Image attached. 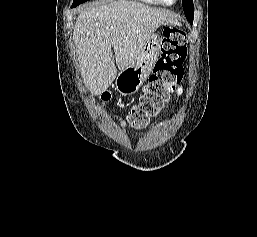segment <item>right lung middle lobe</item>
Segmentation results:
<instances>
[{
  "mask_svg": "<svg viewBox=\"0 0 257 237\" xmlns=\"http://www.w3.org/2000/svg\"><path fill=\"white\" fill-rule=\"evenodd\" d=\"M88 0H73V4H72V7H76L78 6L79 4L83 3V2H86Z\"/></svg>",
  "mask_w": 257,
  "mask_h": 237,
  "instance_id": "right-lung-middle-lobe-1",
  "label": "right lung middle lobe"
}]
</instances>
